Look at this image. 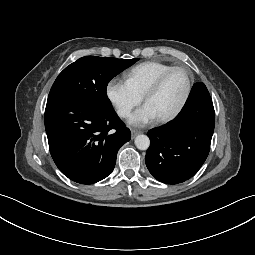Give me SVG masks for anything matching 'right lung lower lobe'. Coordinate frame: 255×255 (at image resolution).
<instances>
[{"label": "right lung lower lobe", "instance_id": "98d812e1", "mask_svg": "<svg viewBox=\"0 0 255 255\" xmlns=\"http://www.w3.org/2000/svg\"><path fill=\"white\" fill-rule=\"evenodd\" d=\"M44 119L55 164L81 184L106 178L114 169L119 148L131 138L114 111L76 98H48Z\"/></svg>", "mask_w": 255, "mask_h": 255}]
</instances>
